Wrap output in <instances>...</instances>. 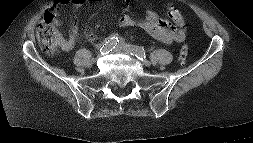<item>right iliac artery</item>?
<instances>
[{"instance_id": "obj_1", "label": "right iliac artery", "mask_w": 253, "mask_h": 143, "mask_svg": "<svg viewBox=\"0 0 253 143\" xmlns=\"http://www.w3.org/2000/svg\"><path fill=\"white\" fill-rule=\"evenodd\" d=\"M117 42H119V40H118V37H115V36L106 39L100 48V52L105 53V52L111 51L113 48H115V46L117 45Z\"/></svg>"}]
</instances>
